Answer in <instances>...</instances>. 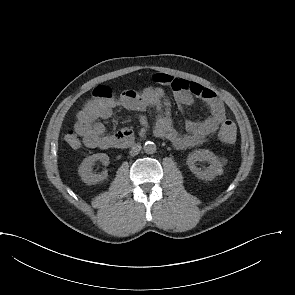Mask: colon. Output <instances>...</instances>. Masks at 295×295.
I'll return each mask as SVG.
<instances>
[{
    "mask_svg": "<svg viewBox=\"0 0 295 295\" xmlns=\"http://www.w3.org/2000/svg\"><path fill=\"white\" fill-rule=\"evenodd\" d=\"M114 91L108 86H98L93 90L96 100H109L114 98ZM219 136L224 144H233L236 140V126L232 121H225L220 128Z\"/></svg>",
    "mask_w": 295,
    "mask_h": 295,
    "instance_id": "obj_1",
    "label": "colon"
}]
</instances>
